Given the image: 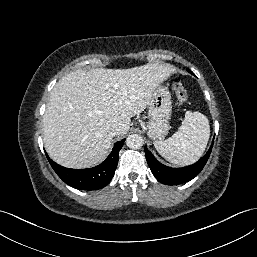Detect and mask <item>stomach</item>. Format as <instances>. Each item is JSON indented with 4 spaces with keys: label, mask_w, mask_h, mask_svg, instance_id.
Returning a JSON list of instances; mask_svg holds the SVG:
<instances>
[{
    "label": "stomach",
    "mask_w": 257,
    "mask_h": 257,
    "mask_svg": "<svg viewBox=\"0 0 257 257\" xmlns=\"http://www.w3.org/2000/svg\"><path fill=\"white\" fill-rule=\"evenodd\" d=\"M171 111L170 92L167 87L159 85L152 93L148 105L147 135L151 139H161L168 134Z\"/></svg>",
    "instance_id": "0dacf381"
}]
</instances>
